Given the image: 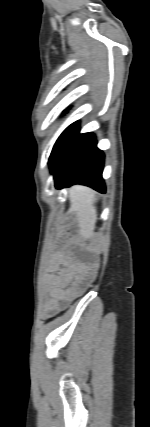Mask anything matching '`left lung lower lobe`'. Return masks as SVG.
<instances>
[{
    "label": "left lung lower lobe",
    "instance_id": "obj_1",
    "mask_svg": "<svg viewBox=\"0 0 150 427\" xmlns=\"http://www.w3.org/2000/svg\"><path fill=\"white\" fill-rule=\"evenodd\" d=\"M104 155L92 133L79 134V123L71 124L56 141L49 166L56 188L83 184L105 193L102 179Z\"/></svg>",
    "mask_w": 150,
    "mask_h": 427
}]
</instances>
